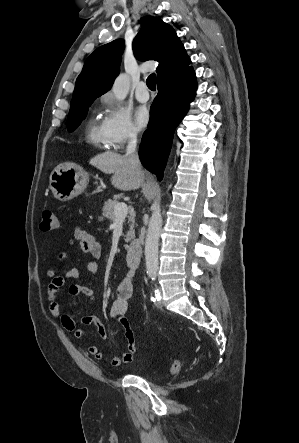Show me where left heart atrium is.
<instances>
[{"mask_svg": "<svg viewBox=\"0 0 299 443\" xmlns=\"http://www.w3.org/2000/svg\"><path fill=\"white\" fill-rule=\"evenodd\" d=\"M134 121L139 129L145 128L150 121V114L146 107L140 106L134 112Z\"/></svg>", "mask_w": 299, "mask_h": 443, "instance_id": "39dd6f15", "label": "left heart atrium"}]
</instances>
